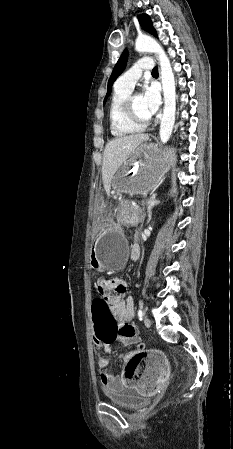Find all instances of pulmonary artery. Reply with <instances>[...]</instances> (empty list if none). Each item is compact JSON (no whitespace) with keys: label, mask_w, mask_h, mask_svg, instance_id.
<instances>
[{"label":"pulmonary artery","mask_w":233,"mask_h":449,"mask_svg":"<svg viewBox=\"0 0 233 449\" xmlns=\"http://www.w3.org/2000/svg\"><path fill=\"white\" fill-rule=\"evenodd\" d=\"M153 61L150 58H142L117 80V85L133 89L142 72L153 69Z\"/></svg>","instance_id":"e3ab8cb5"}]
</instances>
